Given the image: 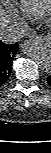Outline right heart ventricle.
Here are the masks:
<instances>
[{"mask_svg": "<svg viewBox=\"0 0 51 153\" xmlns=\"http://www.w3.org/2000/svg\"><path fill=\"white\" fill-rule=\"evenodd\" d=\"M24 14L34 17L44 16L51 7V0H20Z\"/></svg>", "mask_w": 51, "mask_h": 153, "instance_id": "obj_1", "label": "right heart ventricle"}]
</instances>
